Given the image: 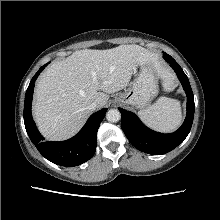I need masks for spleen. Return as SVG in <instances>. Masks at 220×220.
<instances>
[{"mask_svg":"<svg viewBox=\"0 0 220 220\" xmlns=\"http://www.w3.org/2000/svg\"><path fill=\"white\" fill-rule=\"evenodd\" d=\"M140 119L149 127L160 132H171L182 122L178 100L160 97L156 103L139 111Z\"/></svg>","mask_w":220,"mask_h":220,"instance_id":"spleen-1","label":"spleen"}]
</instances>
